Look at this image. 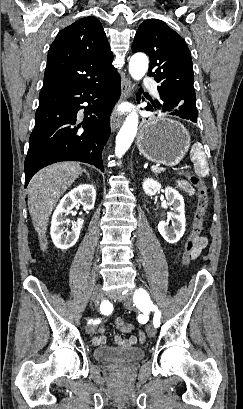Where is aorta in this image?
Segmentation results:
<instances>
[{
    "instance_id": "762f6f07",
    "label": "aorta",
    "mask_w": 243,
    "mask_h": 409,
    "mask_svg": "<svg viewBox=\"0 0 243 409\" xmlns=\"http://www.w3.org/2000/svg\"><path fill=\"white\" fill-rule=\"evenodd\" d=\"M148 57L142 53L134 54L129 61V72L134 80H140L148 70ZM138 114L132 112L129 114L120 129L115 144V155L120 158L130 148L137 130H138Z\"/></svg>"
}]
</instances>
